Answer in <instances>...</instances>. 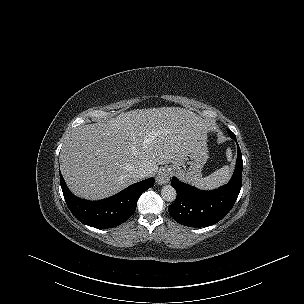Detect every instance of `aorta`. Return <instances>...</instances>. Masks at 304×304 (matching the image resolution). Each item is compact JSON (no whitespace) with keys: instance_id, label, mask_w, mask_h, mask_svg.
<instances>
[{"instance_id":"aorta-1","label":"aorta","mask_w":304,"mask_h":304,"mask_svg":"<svg viewBox=\"0 0 304 304\" xmlns=\"http://www.w3.org/2000/svg\"><path fill=\"white\" fill-rule=\"evenodd\" d=\"M161 196L167 202H173L176 199L177 193L171 185H165L161 189Z\"/></svg>"}]
</instances>
